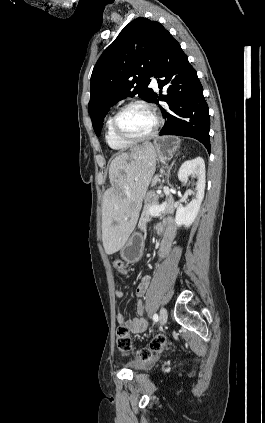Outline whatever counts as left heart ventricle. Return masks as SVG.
Returning <instances> with one entry per match:
<instances>
[{"instance_id": "left-heart-ventricle-1", "label": "left heart ventricle", "mask_w": 265, "mask_h": 423, "mask_svg": "<svg viewBox=\"0 0 265 423\" xmlns=\"http://www.w3.org/2000/svg\"><path fill=\"white\" fill-rule=\"evenodd\" d=\"M154 126L152 115L145 109L134 107L128 109L120 118L121 130L132 137L148 134Z\"/></svg>"}]
</instances>
